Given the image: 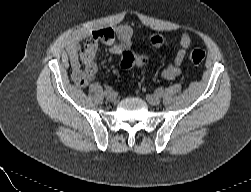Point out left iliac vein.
<instances>
[{"label":"left iliac vein","instance_id":"left-iliac-vein-1","mask_svg":"<svg viewBox=\"0 0 251 192\" xmlns=\"http://www.w3.org/2000/svg\"><path fill=\"white\" fill-rule=\"evenodd\" d=\"M146 100H147V102L150 104V105H152V106H157V105H159L160 104V98L158 97V96H156V95H152V94H148L147 96H146Z\"/></svg>","mask_w":251,"mask_h":192}]
</instances>
